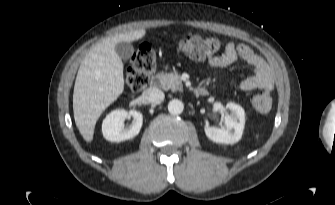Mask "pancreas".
I'll return each mask as SVG.
<instances>
[{"label":"pancreas","instance_id":"cf45deb5","mask_svg":"<svg viewBox=\"0 0 335 205\" xmlns=\"http://www.w3.org/2000/svg\"><path fill=\"white\" fill-rule=\"evenodd\" d=\"M159 78L164 90H182V81L177 71L171 73H160Z\"/></svg>","mask_w":335,"mask_h":205}]
</instances>
